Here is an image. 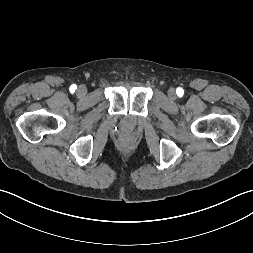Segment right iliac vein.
<instances>
[{
  "mask_svg": "<svg viewBox=\"0 0 253 253\" xmlns=\"http://www.w3.org/2000/svg\"><path fill=\"white\" fill-rule=\"evenodd\" d=\"M87 93V88L85 86H79L78 89H77V95L79 97H83L85 96Z\"/></svg>",
  "mask_w": 253,
  "mask_h": 253,
  "instance_id": "right-iliac-vein-1",
  "label": "right iliac vein"
}]
</instances>
